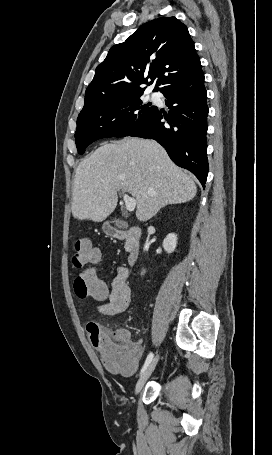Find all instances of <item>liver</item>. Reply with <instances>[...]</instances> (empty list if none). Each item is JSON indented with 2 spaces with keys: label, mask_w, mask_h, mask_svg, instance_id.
Segmentation results:
<instances>
[{
  "label": "liver",
  "mask_w": 272,
  "mask_h": 455,
  "mask_svg": "<svg viewBox=\"0 0 272 455\" xmlns=\"http://www.w3.org/2000/svg\"><path fill=\"white\" fill-rule=\"evenodd\" d=\"M119 191L136 198V217L144 222L165 205L192 200L197 187L155 141L125 138L104 143L76 169L73 217L103 221L115 210Z\"/></svg>",
  "instance_id": "6515ba94"
}]
</instances>
